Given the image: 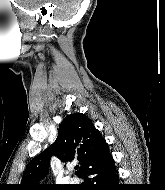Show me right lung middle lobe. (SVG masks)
I'll list each match as a JSON object with an SVG mask.
<instances>
[{
  "label": "right lung middle lobe",
  "instance_id": "1",
  "mask_svg": "<svg viewBox=\"0 0 165 190\" xmlns=\"http://www.w3.org/2000/svg\"><path fill=\"white\" fill-rule=\"evenodd\" d=\"M46 189H54V188H46ZM59 189V188H58Z\"/></svg>",
  "mask_w": 165,
  "mask_h": 190
}]
</instances>
